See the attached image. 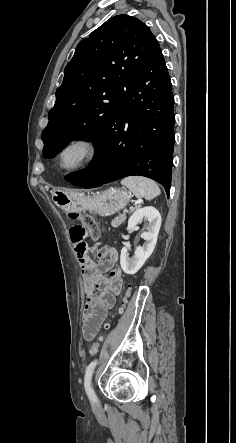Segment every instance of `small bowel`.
Instances as JSON below:
<instances>
[{
	"mask_svg": "<svg viewBox=\"0 0 236 443\" xmlns=\"http://www.w3.org/2000/svg\"><path fill=\"white\" fill-rule=\"evenodd\" d=\"M85 245L86 243L83 242ZM76 241V253L84 277L86 303L83 311L82 332L86 340L93 339L101 328L107 312L123 287V275L117 263L119 252L116 247L94 244L80 251ZM96 253L101 262H94L91 254ZM108 272V277L103 273Z\"/></svg>",
	"mask_w": 236,
	"mask_h": 443,
	"instance_id": "small-bowel-1",
	"label": "small bowel"
}]
</instances>
